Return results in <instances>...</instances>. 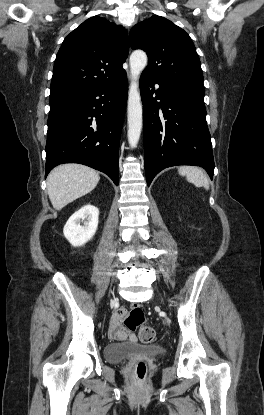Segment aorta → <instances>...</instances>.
Here are the masks:
<instances>
[{"label": "aorta", "instance_id": "obj_1", "mask_svg": "<svg viewBox=\"0 0 264 415\" xmlns=\"http://www.w3.org/2000/svg\"><path fill=\"white\" fill-rule=\"evenodd\" d=\"M147 65V55L144 51L136 50L130 56L131 85L128 93V142L135 148L142 130V103L138 90V80Z\"/></svg>", "mask_w": 264, "mask_h": 415}]
</instances>
